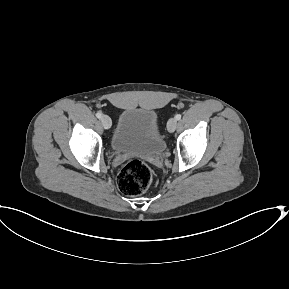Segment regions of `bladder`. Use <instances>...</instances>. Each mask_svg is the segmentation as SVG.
<instances>
[{
	"mask_svg": "<svg viewBox=\"0 0 289 289\" xmlns=\"http://www.w3.org/2000/svg\"><path fill=\"white\" fill-rule=\"evenodd\" d=\"M110 146L117 153L141 156H161L166 141L156 113L144 108L122 111L110 139Z\"/></svg>",
	"mask_w": 289,
	"mask_h": 289,
	"instance_id": "obj_1",
	"label": "bladder"
}]
</instances>
